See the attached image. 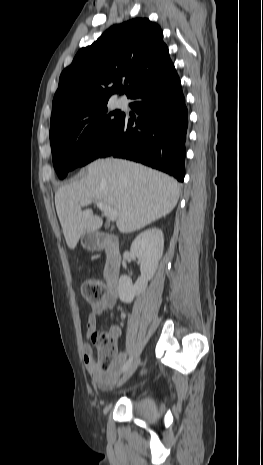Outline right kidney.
<instances>
[{
  "instance_id": "1",
  "label": "right kidney",
  "mask_w": 263,
  "mask_h": 465,
  "mask_svg": "<svg viewBox=\"0 0 263 465\" xmlns=\"http://www.w3.org/2000/svg\"><path fill=\"white\" fill-rule=\"evenodd\" d=\"M164 236L158 228L140 233L132 242L130 251L140 262L141 276L135 282L122 275L119 279L118 294L124 303H131L136 295L145 291L148 281L153 278L163 255Z\"/></svg>"
}]
</instances>
